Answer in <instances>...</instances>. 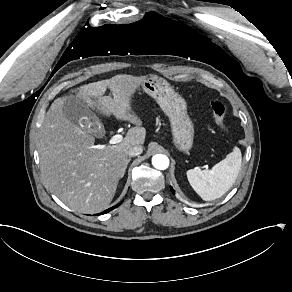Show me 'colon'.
Listing matches in <instances>:
<instances>
[{
  "mask_svg": "<svg viewBox=\"0 0 292 292\" xmlns=\"http://www.w3.org/2000/svg\"><path fill=\"white\" fill-rule=\"evenodd\" d=\"M210 110L212 113V117L217 129L222 133L229 132V126L225 120L226 117V106L223 102L217 99H213L210 101Z\"/></svg>",
  "mask_w": 292,
  "mask_h": 292,
  "instance_id": "obj_1",
  "label": "colon"
}]
</instances>
